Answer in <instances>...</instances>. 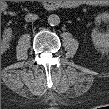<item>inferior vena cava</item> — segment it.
Wrapping results in <instances>:
<instances>
[{
	"mask_svg": "<svg viewBox=\"0 0 109 109\" xmlns=\"http://www.w3.org/2000/svg\"><path fill=\"white\" fill-rule=\"evenodd\" d=\"M36 19H38L36 14L29 13L25 16V21L27 22H34Z\"/></svg>",
	"mask_w": 109,
	"mask_h": 109,
	"instance_id": "1",
	"label": "inferior vena cava"
}]
</instances>
